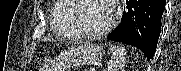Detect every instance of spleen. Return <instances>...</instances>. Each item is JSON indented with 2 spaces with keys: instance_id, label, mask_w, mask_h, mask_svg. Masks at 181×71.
<instances>
[{
  "instance_id": "3e777b00",
  "label": "spleen",
  "mask_w": 181,
  "mask_h": 71,
  "mask_svg": "<svg viewBox=\"0 0 181 71\" xmlns=\"http://www.w3.org/2000/svg\"><path fill=\"white\" fill-rule=\"evenodd\" d=\"M111 58L108 62V71H119L126 64V49L120 46L110 47Z\"/></svg>"
}]
</instances>
